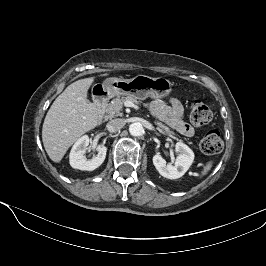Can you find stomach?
<instances>
[{
  "instance_id": "0dacf381",
  "label": "stomach",
  "mask_w": 266,
  "mask_h": 266,
  "mask_svg": "<svg viewBox=\"0 0 266 266\" xmlns=\"http://www.w3.org/2000/svg\"><path fill=\"white\" fill-rule=\"evenodd\" d=\"M102 87L108 96L130 95L139 100L163 98L172 91V83L168 79L145 75H137L132 79L107 78Z\"/></svg>"
}]
</instances>
